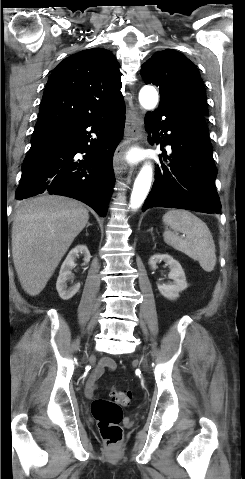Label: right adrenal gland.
I'll return each instance as SVG.
<instances>
[{
    "instance_id": "right-adrenal-gland-1",
    "label": "right adrenal gland",
    "mask_w": 245,
    "mask_h": 479,
    "mask_svg": "<svg viewBox=\"0 0 245 479\" xmlns=\"http://www.w3.org/2000/svg\"><path fill=\"white\" fill-rule=\"evenodd\" d=\"M90 225H91V224H90V223H88V224H87V227H89Z\"/></svg>"
}]
</instances>
